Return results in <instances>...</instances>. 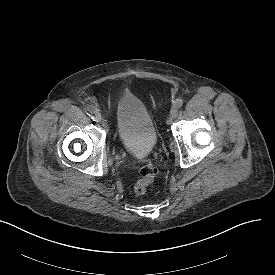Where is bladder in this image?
I'll list each match as a JSON object with an SVG mask.
<instances>
[{"mask_svg": "<svg viewBox=\"0 0 275 275\" xmlns=\"http://www.w3.org/2000/svg\"><path fill=\"white\" fill-rule=\"evenodd\" d=\"M115 118L117 137L125 151L136 158L148 155L156 144L157 131L152 116L134 93L119 97Z\"/></svg>", "mask_w": 275, "mask_h": 275, "instance_id": "31cf9c89", "label": "bladder"}]
</instances>
